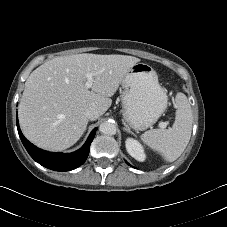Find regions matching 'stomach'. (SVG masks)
<instances>
[{"label":"stomach","instance_id":"1","mask_svg":"<svg viewBox=\"0 0 227 227\" xmlns=\"http://www.w3.org/2000/svg\"><path fill=\"white\" fill-rule=\"evenodd\" d=\"M123 118L136 131L152 126L167 108V92L156 71L146 63L134 64L121 82Z\"/></svg>","mask_w":227,"mask_h":227}]
</instances>
